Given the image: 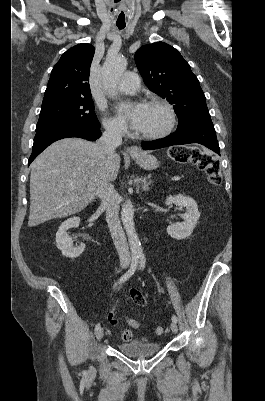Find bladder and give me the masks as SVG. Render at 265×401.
I'll list each match as a JSON object with an SVG mask.
<instances>
[{
	"label": "bladder",
	"instance_id": "bladder-1",
	"mask_svg": "<svg viewBox=\"0 0 265 401\" xmlns=\"http://www.w3.org/2000/svg\"><path fill=\"white\" fill-rule=\"evenodd\" d=\"M161 349V343H140L133 341L118 345V350L133 357L150 356Z\"/></svg>",
	"mask_w": 265,
	"mask_h": 401
}]
</instances>
